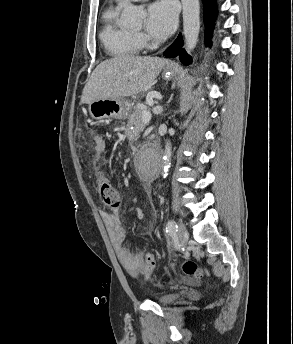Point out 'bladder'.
<instances>
[{"mask_svg": "<svg viewBox=\"0 0 293 344\" xmlns=\"http://www.w3.org/2000/svg\"><path fill=\"white\" fill-rule=\"evenodd\" d=\"M181 298V295L178 293H162L159 295H156L154 297V300L156 303L168 306L176 303Z\"/></svg>", "mask_w": 293, "mask_h": 344, "instance_id": "1", "label": "bladder"}]
</instances>
